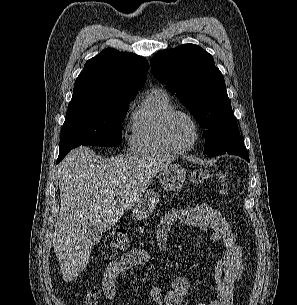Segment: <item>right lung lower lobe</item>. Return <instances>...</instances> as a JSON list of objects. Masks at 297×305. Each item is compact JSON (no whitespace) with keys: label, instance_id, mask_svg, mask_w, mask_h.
I'll use <instances>...</instances> for the list:
<instances>
[{"label":"right lung lower lobe","instance_id":"1","mask_svg":"<svg viewBox=\"0 0 297 305\" xmlns=\"http://www.w3.org/2000/svg\"><path fill=\"white\" fill-rule=\"evenodd\" d=\"M66 154H60L59 153V157L57 159V163H59L64 157H65Z\"/></svg>","mask_w":297,"mask_h":305}]
</instances>
